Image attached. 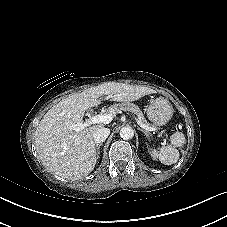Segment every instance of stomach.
<instances>
[{
    "label": "stomach",
    "instance_id": "obj_1",
    "mask_svg": "<svg viewBox=\"0 0 227 227\" xmlns=\"http://www.w3.org/2000/svg\"><path fill=\"white\" fill-rule=\"evenodd\" d=\"M171 103L164 97H158L147 108L148 119L155 125H165L173 115Z\"/></svg>",
    "mask_w": 227,
    "mask_h": 227
}]
</instances>
